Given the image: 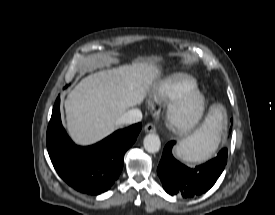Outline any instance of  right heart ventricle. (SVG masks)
I'll use <instances>...</instances> for the list:
<instances>
[{
    "label": "right heart ventricle",
    "instance_id": "1",
    "mask_svg": "<svg viewBox=\"0 0 275 215\" xmlns=\"http://www.w3.org/2000/svg\"><path fill=\"white\" fill-rule=\"evenodd\" d=\"M198 83L188 74L178 73L165 79L157 88L154 98L157 102H171L187 92L197 90Z\"/></svg>",
    "mask_w": 275,
    "mask_h": 215
}]
</instances>
